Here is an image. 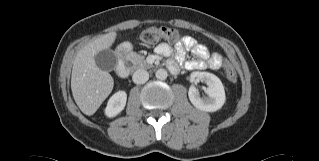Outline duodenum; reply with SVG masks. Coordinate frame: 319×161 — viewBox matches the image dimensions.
Listing matches in <instances>:
<instances>
[{"label": "duodenum", "instance_id": "duodenum-1", "mask_svg": "<svg viewBox=\"0 0 319 161\" xmlns=\"http://www.w3.org/2000/svg\"><path fill=\"white\" fill-rule=\"evenodd\" d=\"M130 49H131L130 45L123 43L117 48L115 53V58L117 61V68H116L117 75L123 79L127 78L129 75V69L126 65V56L128 52L130 51Z\"/></svg>", "mask_w": 319, "mask_h": 161}]
</instances>
